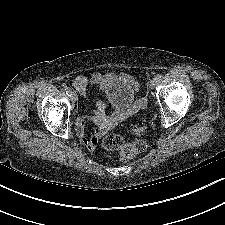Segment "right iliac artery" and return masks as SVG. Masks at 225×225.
Segmentation results:
<instances>
[{
	"label": "right iliac artery",
	"mask_w": 225,
	"mask_h": 225,
	"mask_svg": "<svg viewBox=\"0 0 225 225\" xmlns=\"http://www.w3.org/2000/svg\"><path fill=\"white\" fill-rule=\"evenodd\" d=\"M65 92H66V94L68 95V96H70L71 95V93H72V90L70 89V88H65Z\"/></svg>",
	"instance_id": "82829eb1"
}]
</instances>
